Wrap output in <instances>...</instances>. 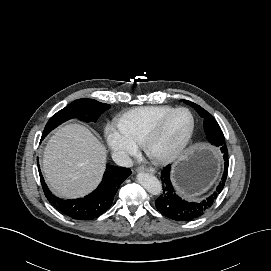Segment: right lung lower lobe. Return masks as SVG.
Wrapping results in <instances>:
<instances>
[{
    "label": "right lung lower lobe",
    "mask_w": 271,
    "mask_h": 271,
    "mask_svg": "<svg viewBox=\"0 0 271 271\" xmlns=\"http://www.w3.org/2000/svg\"><path fill=\"white\" fill-rule=\"evenodd\" d=\"M40 173V172H39ZM131 174L124 167L107 165L103 180L98 188L84 198L63 200L51 194L40 173L44 194L61 213L73 219L92 220L110 208L120 184Z\"/></svg>",
    "instance_id": "98d812e1"
}]
</instances>
